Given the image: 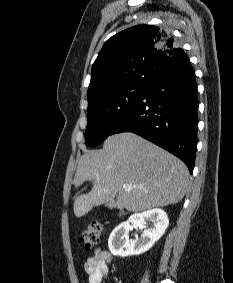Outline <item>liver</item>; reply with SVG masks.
Masks as SVG:
<instances>
[{
  "label": "liver",
  "instance_id": "1",
  "mask_svg": "<svg viewBox=\"0 0 233 283\" xmlns=\"http://www.w3.org/2000/svg\"><path fill=\"white\" fill-rule=\"evenodd\" d=\"M188 168L179 158L131 132L109 136L103 149L88 151L78 162L74 185L86 181L93 187L87 194L76 195L73 209L77 218L94 206L109 204L140 212L176 204L188 187ZM125 184L141 186L125 188Z\"/></svg>",
  "mask_w": 233,
  "mask_h": 283
}]
</instances>
